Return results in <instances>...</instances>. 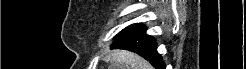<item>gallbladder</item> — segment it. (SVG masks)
<instances>
[{"label": "gallbladder", "mask_w": 246, "mask_h": 69, "mask_svg": "<svg viewBox=\"0 0 246 69\" xmlns=\"http://www.w3.org/2000/svg\"><path fill=\"white\" fill-rule=\"evenodd\" d=\"M109 69H115V67H112L111 65L108 67Z\"/></svg>", "instance_id": "bac80fb5"}]
</instances>
